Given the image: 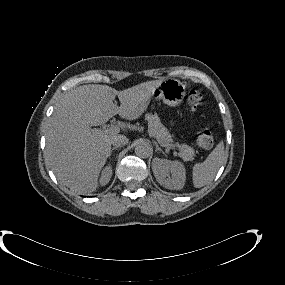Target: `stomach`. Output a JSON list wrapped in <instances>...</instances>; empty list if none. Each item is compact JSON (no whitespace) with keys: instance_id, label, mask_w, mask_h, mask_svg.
<instances>
[{"instance_id":"0dacf381","label":"stomach","mask_w":285,"mask_h":285,"mask_svg":"<svg viewBox=\"0 0 285 285\" xmlns=\"http://www.w3.org/2000/svg\"><path fill=\"white\" fill-rule=\"evenodd\" d=\"M185 95V86L179 80L169 78L161 81L153 90L152 98L161 99L166 105L176 107L183 102Z\"/></svg>"}]
</instances>
